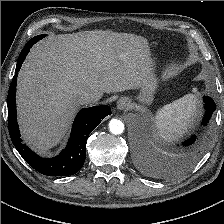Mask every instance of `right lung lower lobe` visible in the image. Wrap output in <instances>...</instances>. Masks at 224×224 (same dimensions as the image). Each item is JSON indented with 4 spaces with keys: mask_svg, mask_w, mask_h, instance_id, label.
<instances>
[{
    "mask_svg": "<svg viewBox=\"0 0 224 224\" xmlns=\"http://www.w3.org/2000/svg\"><path fill=\"white\" fill-rule=\"evenodd\" d=\"M34 40L27 42L21 51L15 75L8 92V126L11 140L23 159L36 171L47 176H69L77 173L83 166L86 157V141L89 134L106 116L111 114L109 106L101 105L84 108L79 111L72 127V133L66 148L54 158H42L22 143L16 118V82L18 71L26 58Z\"/></svg>",
    "mask_w": 224,
    "mask_h": 224,
    "instance_id": "1",
    "label": "right lung lower lobe"
}]
</instances>
